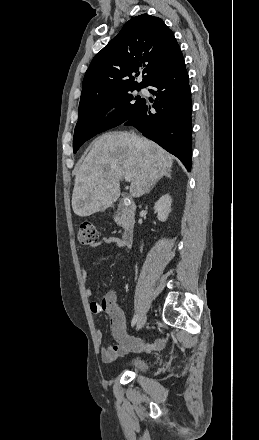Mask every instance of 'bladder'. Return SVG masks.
Wrapping results in <instances>:
<instances>
[{
	"label": "bladder",
	"mask_w": 259,
	"mask_h": 440,
	"mask_svg": "<svg viewBox=\"0 0 259 440\" xmlns=\"http://www.w3.org/2000/svg\"><path fill=\"white\" fill-rule=\"evenodd\" d=\"M126 366L135 373H146L150 370L151 363L143 356H134L128 360Z\"/></svg>",
	"instance_id": "bladder-1"
}]
</instances>
